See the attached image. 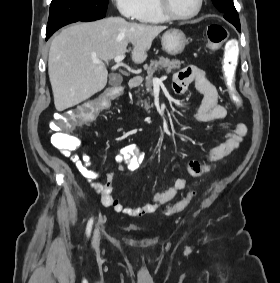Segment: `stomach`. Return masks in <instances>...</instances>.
<instances>
[{"label": "stomach", "mask_w": 280, "mask_h": 283, "mask_svg": "<svg viewBox=\"0 0 280 283\" xmlns=\"http://www.w3.org/2000/svg\"><path fill=\"white\" fill-rule=\"evenodd\" d=\"M161 44L164 51L169 55L176 56L183 52L188 40L183 31L174 28L162 35Z\"/></svg>", "instance_id": "obj_1"}]
</instances>
